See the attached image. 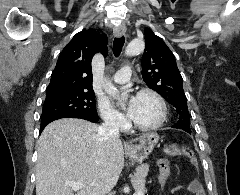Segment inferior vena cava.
I'll use <instances>...</instances> for the list:
<instances>
[{"label":"inferior vena cava","mask_w":240,"mask_h":195,"mask_svg":"<svg viewBox=\"0 0 240 195\" xmlns=\"http://www.w3.org/2000/svg\"><path fill=\"white\" fill-rule=\"evenodd\" d=\"M99 135L105 139H119V123L110 115H104V123L98 129Z\"/></svg>","instance_id":"602c4592"}]
</instances>
